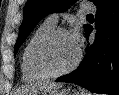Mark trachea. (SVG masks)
I'll return each mask as SVG.
<instances>
[{"label":"trachea","instance_id":"1","mask_svg":"<svg viewBox=\"0 0 119 95\" xmlns=\"http://www.w3.org/2000/svg\"><path fill=\"white\" fill-rule=\"evenodd\" d=\"M87 16H88V17H92L93 15H92V14H88Z\"/></svg>","mask_w":119,"mask_h":95}]
</instances>
